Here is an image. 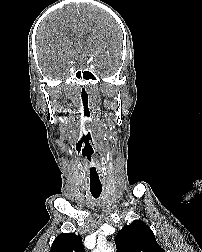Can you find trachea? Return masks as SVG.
Wrapping results in <instances>:
<instances>
[{"mask_svg": "<svg viewBox=\"0 0 202 252\" xmlns=\"http://www.w3.org/2000/svg\"><path fill=\"white\" fill-rule=\"evenodd\" d=\"M91 194L94 198H98L102 192L100 187H90Z\"/></svg>", "mask_w": 202, "mask_h": 252, "instance_id": "obj_1", "label": "trachea"}]
</instances>
